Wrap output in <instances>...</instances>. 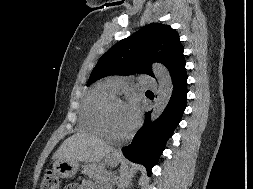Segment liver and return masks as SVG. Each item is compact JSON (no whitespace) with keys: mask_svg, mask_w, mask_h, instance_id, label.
Returning a JSON list of instances; mask_svg holds the SVG:
<instances>
[{"mask_svg":"<svg viewBox=\"0 0 253 189\" xmlns=\"http://www.w3.org/2000/svg\"><path fill=\"white\" fill-rule=\"evenodd\" d=\"M111 151L112 149L96 136L80 131L61 144L53 159L98 163Z\"/></svg>","mask_w":253,"mask_h":189,"instance_id":"obj_1","label":"liver"}]
</instances>
